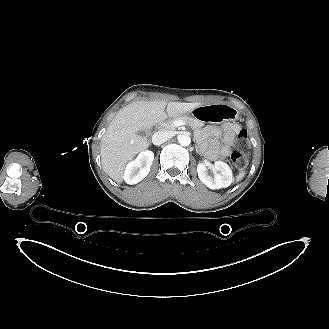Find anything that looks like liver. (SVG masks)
<instances>
[{"mask_svg": "<svg viewBox=\"0 0 329 329\" xmlns=\"http://www.w3.org/2000/svg\"><path fill=\"white\" fill-rule=\"evenodd\" d=\"M201 105L200 102L138 101L120 109L101 139V162L105 173L121 183L126 163L149 147V142L138 131L146 130L168 116H183Z\"/></svg>", "mask_w": 329, "mask_h": 329, "instance_id": "obj_1", "label": "liver"}]
</instances>
